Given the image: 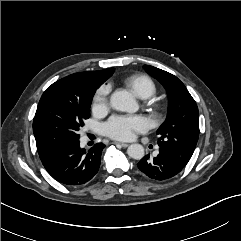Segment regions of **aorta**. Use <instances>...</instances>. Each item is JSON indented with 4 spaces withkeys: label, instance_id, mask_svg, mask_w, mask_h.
Masks as SVG:
<instances>
[{
    "label": "aorta",
    "instance_id": "762f6f07",
    "mask_svg": "<svg viewBox=\"0 0 241 241\" xmlns=\"http://www.w3.org/2000/svg\"><path fill=\"white\" fill-rule=\"evenodd\" d=\"M111 107L122 112L134 113L139 106L132 94L127 91H115L110 98ZM128 155L136 160L144 157V148L140 144H131L127 149Z\"/></svg>",
    "mask_w": 241,
    "mask_h": 241
}]
</instances>
